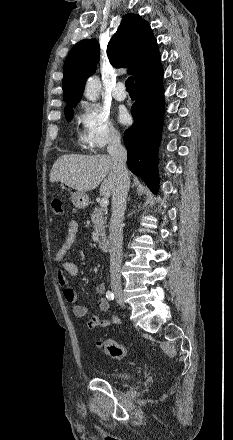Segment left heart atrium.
<instances>
[{
    "label": "left heart atrium",
    "mask_w": 233,
    "mask_h": 440,
    "mask_svg": "<svg viewBox=\"0 0 233 440\" xmlns=\"http://www.w3.org/2000/svg\"><path fill=\"white\" fill-rule=\"evenodd\" d=\"M119 120L122 123H127L129 120L128 113L125 110L120 111L119 113Z\"/></svg>",
    "instance_id": "obj_1"
}]
</instances>
